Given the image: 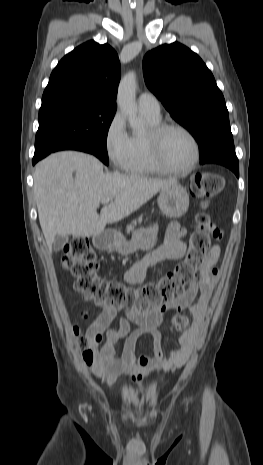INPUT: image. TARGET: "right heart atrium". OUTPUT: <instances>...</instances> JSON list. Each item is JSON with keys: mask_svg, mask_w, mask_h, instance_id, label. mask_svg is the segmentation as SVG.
<instances>
[{"mask_svg": "<svg viewBox=\"0 0 263 465\" xmlns=\"http://www.w3.org/2000/svg\"><path fill=\"white\" fill-rule=\"evenodd\" d=\"M104 150L107 158L119 169H125L130 154V135L121 113L116 112L104 133Z\"/></svg>", "mask_w": 263, "mask_h": 465, "instance_id": "1", "label": "right heart atrium"}]
</instances>
